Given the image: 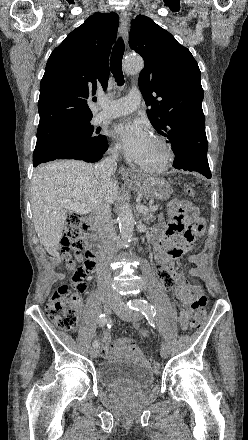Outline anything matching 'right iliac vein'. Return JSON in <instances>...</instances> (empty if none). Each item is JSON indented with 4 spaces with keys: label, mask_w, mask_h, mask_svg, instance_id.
<instances>
[{
    "label": "right iliac vein",
    "mask_w": 248,
    "mask_h": 440,
    "mask_svg": "<svg viewBox=\"0 0 248 440\" xmlns=\"http://www.w3.org/2000/svg\"><path fill=\"white\" fill-rule=\"evenodd\" d=\"M103 305L107 312H109L115 305V299L111 296H104ZM98 348H92L90 350V355L92 358H96L98 356Z\"/></svg>",
    "instance_id": "1"
}]
</instances>
